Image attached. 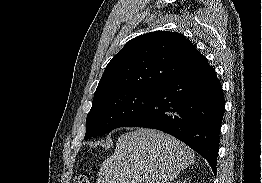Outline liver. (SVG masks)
I'll return each mask as SVG.
<instances>
[{"label": "liver", "mask_w": 262, "mask_h": 183, "mask_svg": "<svg viewBox=\"0 0 262 183\" xmlns=\"http://www.w3.org/2000/svg\"><path fill=\"white\" fill-rule=\"evenodd\" d=\"M195 162L186 144L164 132L138 128L122 134L99 169L97 183H171Z\"/></svg>", "instance_id": "liver-1"}]
</instances>
